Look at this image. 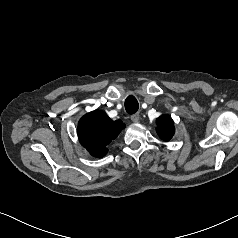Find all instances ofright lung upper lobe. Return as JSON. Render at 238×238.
<instances>
[{"mask_svg": "<svg viewBox=\"0 0 238 238\" xmlns=\"http://www.w3.org/2000/svg\"><path fill=\"white\" fill-rule=\"evenodd\" d=\"M124 127L121 120L112 121L105 112L95 110L80 119L79 141L91 155L101 158L108 151L106 146L119 135Z\"/></svg>", "mask_w": 238, "mask_h": 238, "instance_id": "1", "label": "right lung upper lobe"}]
</instances>
